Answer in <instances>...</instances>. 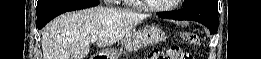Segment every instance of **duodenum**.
Here are the masks:
<instances>
[{"instance_id": "duodenum-1", "label": "duodenum", "mask_w": 261, "mask_h": 59, "mask_svg": "<svg viewBox=\"0 0 261 59\" xmlns=\"http://www.w3.org/2000/svg\"><path fill=\"white\" fill-rule=\"evenodd\" d=\"M108 57L104 53H97L92 56V59H107Z\"/></svg>"}]
</instances>
